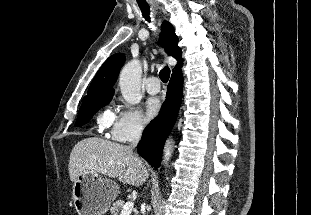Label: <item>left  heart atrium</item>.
<instances>
[{
    "instance_id": "left-heart-atrium-1",
    "label": "left heart atrium",
    "mask_w": 311,
    "mask_h": 215,
    "mask_svg": "<svg viewBox=\"0 0 311 215\" xmlns=\"http://www.w3.org/2000/svg\"><path fill=\"white\" fill-rule=\"evenodd\" d=\"M161 109V103L157 98H150L145 104V120L150 121L155 118Z\"/></svg>"
}]
</instances>
